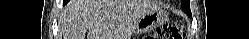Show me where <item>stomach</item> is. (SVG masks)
Here are the masks:
<instances>
[{
	"label": "stomach",
	"mask_w": 249,
	"mask_h": 39,
	"mask_svg": "<svg viewBox=\"0 0 249 39\" xmlns=\"http://www.w3.org/2000/svg\"><path fill=\"white\" fill-rule=\"evenodd\" d=\"M167 20V14L161 9L149 10L141 15L134 26L135 34H143L162 25Z\"/></svg>",
	"instance_id": "1"
}]
</instances>
